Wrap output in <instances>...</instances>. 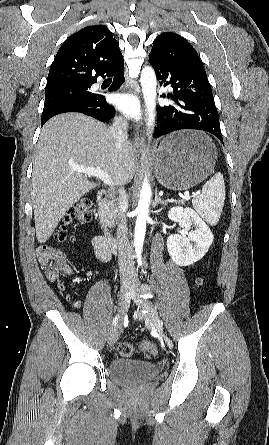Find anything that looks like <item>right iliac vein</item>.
I'll return each instance as SVG.
<instances>
[{
    "instance_id": "right-iliac-vein-1",
    "label": "right iliac vein",
    "mask_w": 269,
    "mask_h": 445,
    "mask_svg": "<svg viewBox=\"0 0 269 445\" xmlns=\"http://www.w3.org/2000/svg\"><path fill=\"white\" fill-rule=\"evenodd\" d=\"M132 294H133V290L129 287L122 288V290L120 292V296H119L120 317H119L117 323L115 324V326L113 327V329L111 330V333L109 335L108 344L110 346H113L119 339V336L121 334V328H122V318H123L124 312L129 307L130 298H131Z\"/></svg>"
}]
</instances>
